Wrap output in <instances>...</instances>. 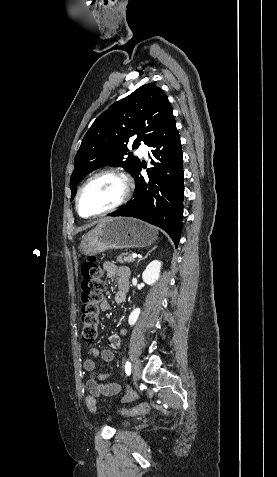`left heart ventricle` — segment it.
I'll list each match as a JSON object with an SVG mask.
<instances>
[{"instance_id":"left-heart-ventricle-1","label":"left heart ventricle","mask_w":277,"mask_h":477,"mask_svg":"<svg viewBox=\"0 0 277 477\" xmlns=\"http://www.w3.org/2000/svg\"><path fill=\"white\" fill-rule=\"evenodd\" d=\"M123 193L122 182L114 176H100L83 190L80 209L84 214H94L114 205Z\"/></svg>"}]
</instances>
